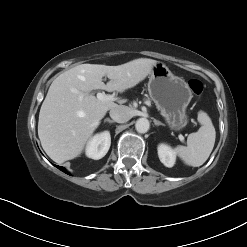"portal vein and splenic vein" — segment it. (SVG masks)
Here are the masks:
<instances>
[{
	"label": "portal vein and splenic vein",
	"instance_id": "1",
	"mask_svg": "<svg viewBox=\"0 0 247 247\" xmlns=\"http://www.w3.org/2000/svg\"><path fill=\"white\" fill-rule=\"evenodd\" d=\"M97 99L101 101H113L114 96L113 95H106L104 93H97ZM179 139L181 142H184V137L182 135L179 136Z\"/></svg>",
	"mask_w": 247,
	"mask_h": 247
}]
</instances>
